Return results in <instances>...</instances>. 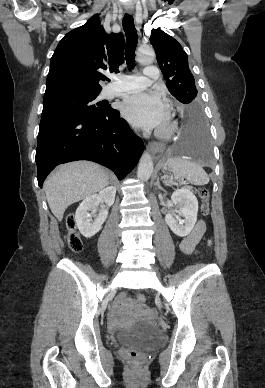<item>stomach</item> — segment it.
<instances>
[{"label":"stomach","mask_w":265,"mask_h":388,"mask_svg":"<svg viewBox=\"0 0 265 388\" xmlns=\"http://www.w3.org/2000/svg\"><path fill=\"white\" fill-rule=\"evenodd\" d=\"M162 169H163V172H166L167 170H170L169 168H167V166L164 167L163 165H162Z\"/></svg>","instance_id":"1"}]
</instances>
